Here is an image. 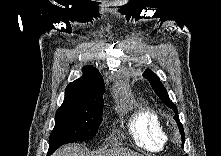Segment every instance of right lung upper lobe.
Segmentation results:
<instances>
[{
    "label": "right lung upper lobe",
    "mask_w": 221,
    "mask_h": 156,
    "mask_svg": "<svg viewBox=\"0 0 221 156\" xmlns=\"http://www.w3.org/2000/svg\"><path fill=\"white\" fill-rule=\"evenodd\" d=\"M83 75L68 84L63 104H78L103 101L104 80L99 71L92 66L82 68Z\"/></svg>",
    "instance_id": "obj_1"
}]
</instances>
